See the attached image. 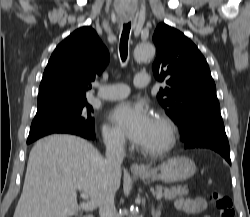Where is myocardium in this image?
Masks as SVG:
<instances>
[{
    "instance_id": "obj_1",
    "label": "myocardium",
    "mask_w": 250,
    "mask_h": 217,
    "mask_svg": "<svg viewBox=\"0 0 250 217\" xmlns=\"http://www.w3.org/2000/svg\"><path fill=\"white\" fill-rule=\"evenodd\" d=\"M165 130L164 142L154 148H142V152L149 156H160L170 151L176 142L177 127L173 120L164 113H157L155 117Z\"/></svg>"
}]
</instances>
